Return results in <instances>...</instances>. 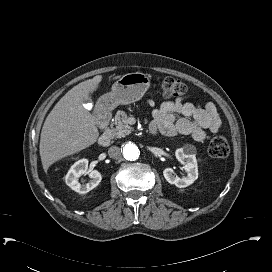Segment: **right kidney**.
<instances>
[{"label":"right kidney","instance_id":"obj_1","mask_svg":"<svg viewBox=\"0 0 272 272\" xmlns=\"http://www.w3.org/2000/svg\"><path fill=\"white\" fill-rule=\"evenodd\" d=\"M88 174L90 180L86 184H80L78 182V178L83 175ZM102 176L100 172L97 170H89L88 169V160L87 159H80L75 162L68 173L65 176L66 184L75 192L79 194H86L90 190L94 189L98 184L101 182Z\"/></svg>","mask_w":272,"mask_h":272}]
</instances>
